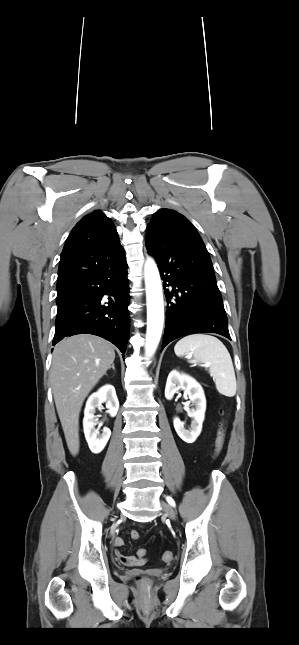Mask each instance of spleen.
Masks as SVG:
<instances>
[{
    "label": "spleen",
    "mask_w": 299,
    "mask_h": 645,
    "mask_svg": "<svg viewBox=\"0 0 299 645\" xmlns=\"http://www.w3.org/2000/svg\"><path fill=\"white\" fill-rule=\"evenodd\" d=\"M175 354L193 356L196 362L209 366L218 392L227 397L236 394L237 384L231 356L224 344L207 334H191L179 340L174 347Z\"/></svg>",
    "instance_id": "obj_1"
}]
</instances>
